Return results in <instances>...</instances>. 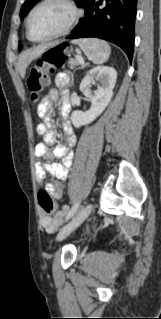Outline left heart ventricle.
Returning <instances> with one entry per match:
<instances>
[{
  "label": "left heart ventricle",
  "instance_id": "left-heart-ventricle-1",
  "mask_svg": "<svg viewBox=\"0 0 161 319\" xmlns=\"http://www.w3.org/2000/svg\"><path fill=\"white\" fill-rule=\"evenodd\" d=\"M70 16V11L60 3H48L34 14L30 33L34 39L48 37L59 31Z\"/></svg>",
  "mask_w": 161,
  "mask_h": 319
}]
</instances>
